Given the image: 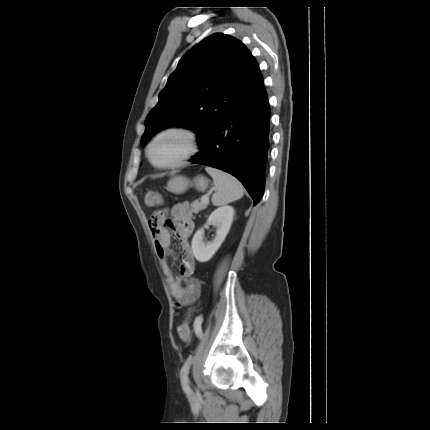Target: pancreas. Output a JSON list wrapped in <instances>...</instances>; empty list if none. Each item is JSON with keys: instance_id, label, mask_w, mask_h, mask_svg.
I'll use <instances>...</instances> for the list:
<instances>
[{"instance_id": "cf45deb5", "label": "pancreas", "mask_w": 430, "mask_h": 430, "mask_svg": "<svg viewBox=\"0 0 430 430\" xmlns=\"http://www.w3.org/2000/svg\"><path fill=\"white\" fill-rule=\"evenodd\" d=\"M208 204H209V201L202 202V200L201 201L195 200L194 202L191 203L192 212L198 213L199 211L206 209Z\"/></svg>"}]
</instances>
